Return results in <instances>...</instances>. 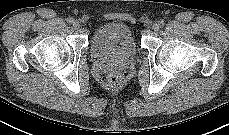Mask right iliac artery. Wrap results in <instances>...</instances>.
Segmentation results:
<instances>
[{
    "label": "right iliac artery",
    "mask_w": 229,
    "mask_h": 135,
    "mask_svg": "<svg viewBox=\"0 0 229 135\" xmlns=\"http://www.w3.org/2000/svg\"><path fill=\"white\" fill-rule=\"evenodd\" d=\"M67 22L69 24H72L74 22V19L72 17L67 18Z\"/></svg>",
    "instance_id": "82829eb1"
}]
</instances>
